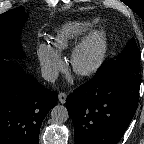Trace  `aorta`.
I'll return each instance as SVG.
<instances>
[{"label":"aorta","instance_id":"aorta-1","mask_svg":"<svg viewBox=\"0 0 144 144\" xmlns=\"http://www.w3.org/2000/svg\"><path fill=\"white\" fill-rule=\"evenodd\" d=\"M51 118L55 123L62 124L69 118L68 110L63 105H56L51 110Z\"/></svg>","mask_w":144,"mask_h":144}]
</instances>
